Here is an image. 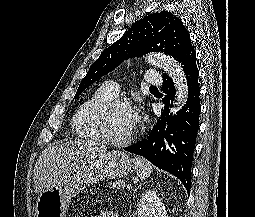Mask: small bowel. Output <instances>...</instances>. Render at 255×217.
I'll list each match as a JSON object with an SVG mask.
<instances>
[{"label": "small bowel", "mask_w": 255, "mask_h": 217, "mask_svg": "<svg viewBox=\"0 0 255 217\" xmlns=\"http://www.w3.org/2000/svg\"><path fill=\"white\" fill-rule=\"evenodd\" d=\"M92 217H116V214L113 212H100Z\"/></svg>", "instance_id": "obj_1"}]
</instances>
